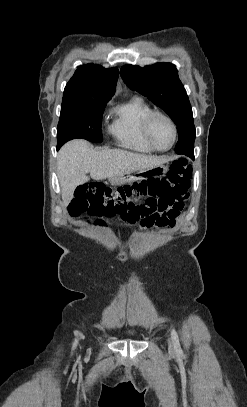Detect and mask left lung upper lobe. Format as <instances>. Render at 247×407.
I'll list each match as a JSON object with an SVG mask.
<instances>
[{"instance_id": "5c2ea615", "label": "left lung upper lobe", "mask_w": 247, "mask_h": 407, "mask_svg": "<svg viewBox=\"0 0 247 407\" xmlns=\"http://www.w3.org/2000/svg\"><path fill=\"white\" fill-rule=\"evenodd\" d=\"M126 85L147 97L163 109L177 126V154L194 157L195 126L186 90L175 66L171 63H156L141 68L125 65L120 70Z\"/></svg>"}]
</instances>
